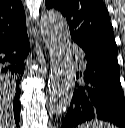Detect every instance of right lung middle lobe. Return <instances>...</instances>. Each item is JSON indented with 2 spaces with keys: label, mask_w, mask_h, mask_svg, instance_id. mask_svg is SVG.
<instances>
[{
  "label": "right lung middle lobe",
  "mask_w": 125,
  "mask_h": 128,
  "mask_svg": "<svg viewBox=\"0 0 125 128\" xmlns=\"http://www.w3.org/2000/svg\"><path fill=\"white\" fill-rule=\"evenodd\" d=\"M0 77L3 78L6 82H12L13 81V78L9 75H6L2 72H0Z\"/></svg>",
  "instance_id": "dd1d6c3e"
}]
</instances>
